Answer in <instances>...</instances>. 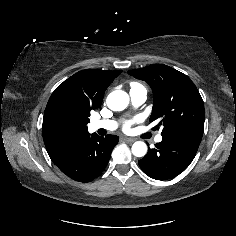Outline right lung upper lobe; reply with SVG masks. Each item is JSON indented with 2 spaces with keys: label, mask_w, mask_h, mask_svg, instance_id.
<instances>
[{
  "label": "right lung upper lobe",
  "mask_w": 236,
  "mask_h": 236,
  "mask_svg": "<svg viewBox=\"0 0 236 236\" xmlns=\"http://www.w3.org/2000/svg\"><path fill=\"white\" fill-rule=\"evenodd\" d=\"M121 72L82 70L56 88L47 103L42 126L44 144L51 159L89 135L87 124L66 122L58 116L59 104H66L81 115L99 108L107 87Z\"/></svg>",
  "instance_id": "1"
}]
</instances>
